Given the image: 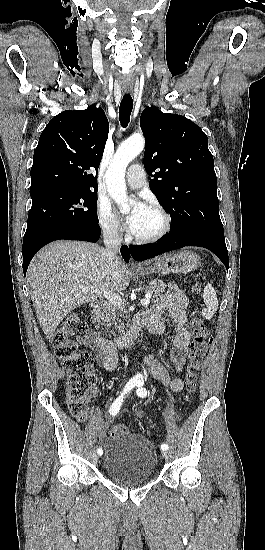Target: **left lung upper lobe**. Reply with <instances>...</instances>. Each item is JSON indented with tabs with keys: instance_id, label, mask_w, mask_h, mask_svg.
Instances as JSON below:
<instances>
[{
	"instance_id": "left-lung-upper-lobe-1",
	"label": "left lung upper lobe",
	"mask_w": 265,
	"mask_h": 550,
	"mask_svg": "<svg viewBox=\"0 0 265 550\" xmlns=\"http://www.w3.org/2000/svg\"><path fill=\"white\" fill-rule=\"evenodd\" d=\"M140 126L149 187L171 216L169 233L202 230L224 237L207 135L191 120L155 106L142 112Z\"/></svg>"
}]
</instances>
